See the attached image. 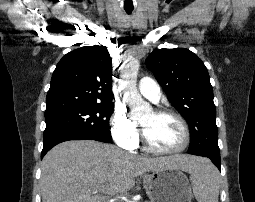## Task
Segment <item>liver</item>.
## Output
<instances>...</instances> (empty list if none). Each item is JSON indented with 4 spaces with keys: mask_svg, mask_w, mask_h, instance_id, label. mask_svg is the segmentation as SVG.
<instances>
[{
    "mask_svg": "<svg viewBox=\"0 0 255 202\" xmlns=\"http://www.w3.org/2000/svg\"><path fill=\"white\" fill-rule=\"evenodd\" d=\"M202 160L191 155L143 157L93 140L66 141L43 158L42 202H103V194L127 192L145 172L175 168L191 173Z\"/></svg>",
    "mask_w": 255,
    "mask_h": 202,
    "instance_id": "6515ba94",
    "label": "liver"
}]
</instances>
